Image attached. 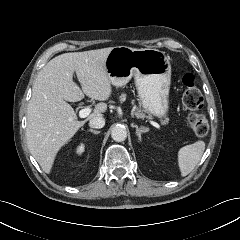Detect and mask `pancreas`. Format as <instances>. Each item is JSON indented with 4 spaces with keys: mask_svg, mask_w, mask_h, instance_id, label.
I'll return each mask as SVG.
<instances>
[{
    "mask_svg": "<svg viewBox=\"0 0 240 240\" xmlns=\"http://www.w3.org/2000/svg\"><path fill=\"white\" fill-rule=\"evenodd\" d=\"M126 98V95L125 94H122L120 96V101H123L125 100ZM135 116L138 117V118H143L145 117V114L140 110V109H136V111L134 112Z\"/></svg>",
    "mask_w": 240,
    "mask_h": 240,
    "instance_id": "obj_1",
    "label": "pancreas"
}]
</instances>
